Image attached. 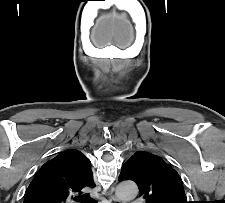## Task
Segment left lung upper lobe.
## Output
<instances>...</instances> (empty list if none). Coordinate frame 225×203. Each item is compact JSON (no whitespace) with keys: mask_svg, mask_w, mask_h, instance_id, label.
Segmentation results:
<instances>
[{"mask_svg":"<svg viewBox=\"0 0 225 203\" xmlns=\"http://www.w3.org/2000/svg\"><path fill=\"white\" fill-rule=\"evenodd\" d=\"M122 180L134 181L146 203H188L179 174L152 153L135 152L122 166Z\"/></svg>","mask_w":225,"mask_h":203,"instance_id":"5c2ea615","label":"left lung upper lobe"}]
</instances>
